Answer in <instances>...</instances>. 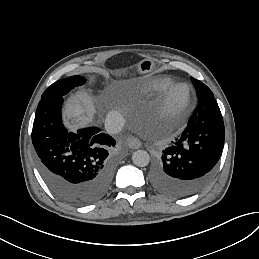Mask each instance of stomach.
Masks as SVG:
<instances>
[{"label":"stomach","mask_w":259,"mask_h":259,"mask_svg":"<svg viewBox=\"0 0 259 259\" xmlns=\"http://www.w3.org/2000/svg\"><path fill=\"white\" fill-rule=\"evenodd\" d=\"M154 67V62L152 60H143L139 63V70L141 72H150Z\"/></svg>","instance_id":"obj_1"}]
</instances>
